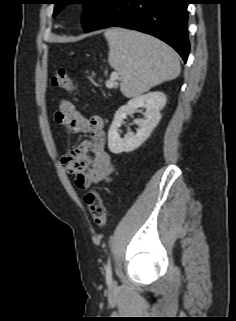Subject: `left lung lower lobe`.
<instances>
[{
    "instance_id": "1",
    "label": "left lung lower lobe",
    "mask_w": 236,
    "mask_h": 321,
    "mask_svg": "<svg viewBox=\"0 0 236 321\" xmlns=\"http://www.w3.org/2000/svg\"><path fill=\"white\" fill-rule=\"evenodd\" d=\"M191 0H110L84 33L122 27L155 36L172 46L187 61V4Z\"/></svg>"
}]
</instances>
